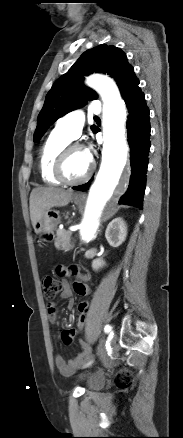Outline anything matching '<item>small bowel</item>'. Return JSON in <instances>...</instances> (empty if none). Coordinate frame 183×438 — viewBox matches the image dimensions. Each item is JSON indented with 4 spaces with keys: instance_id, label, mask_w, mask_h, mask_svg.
<instances>
[{
    "instance_id": "c3829d8e",
    "label": "small bowel",
    "mask_w": 183,
    "mask_h": 438,
    "mask_svg": "<svg viewBox=\"0 0 183 438\" xmlns=\"http://www.w3.org/2000/svg\"><path fill=\"white\" fill-rule=\"evenodd\" d=\"M55 272L58 276L62 277L61 286L62 291L60 293L61 299H70L74 294L79 296H87L90 293V287L87 282L89 281V275L80 272L74 266L57 265L55 267ZM75 276L78 281H76L72 286L67 281V277ZM70 307L74 306V302L70 301ZM48 318L51 323L56 322V310L53 306L48 308ZM77 334V330L70 328L62 332L61 338L64 344H70L74 340ZM92 357L89 350H84L80 352L75 358L70 361H66L60 354H57L54 358L55 365L65 376L72 375L75 371L84 366Z\"/></svg>"
}]
</instances>
